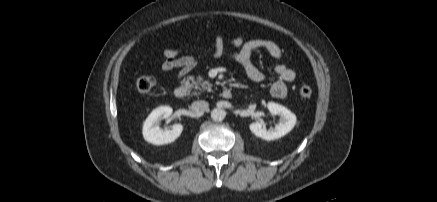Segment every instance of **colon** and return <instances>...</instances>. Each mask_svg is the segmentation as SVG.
Returning <instances> with one entry per match:
<instances>
[{
    "mask_svg": "<svg viewBox=\"0 0 437 202\" xmlns=\"http://www.w3.org/2000/svg\"><path fill=\"white\" fill-rule=\"evenodd\" d=\"M156 84L155 79L149 75H140L135 80L136 90L140 94H148ZM302 98L307 99L312 95V89L309 85H302L299 89Z\"/></svg>",
    "mask_w": 437,
    "mask_h": 202,
    "instance_id": "obj_1",
    "label": "colon"
}]
</instances>
